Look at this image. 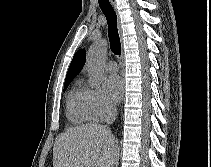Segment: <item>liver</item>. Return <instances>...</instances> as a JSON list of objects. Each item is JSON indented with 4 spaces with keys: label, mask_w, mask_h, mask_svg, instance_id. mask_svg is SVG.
<instances>
[{
    "label": "liver",
    "mask_w": 211,
    "mask_h": 167,
    "mask_svg": "<svg viewBox=\"0 0 211 167\" xmlns=\"http://www.w3.org/2000/svg\"><path fill=\"white\" fill-rule=\"evenodd\" d=\"M118 158L117 140L103 125L70 128L53 150V167H113Z\"/></svg>",
    "instance_id": "liver-1"
}]
</instances>
